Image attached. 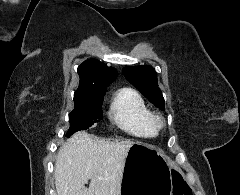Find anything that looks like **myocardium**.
<instances>
[{"mask_svg":"<svg viewBox=\"0 0 240 195\" xmlns=\"http://www.w3.org/2000/svg\"><path fill=\"white\" fill-rule=\"evenodd\" d=\"M151 120L155 127H160L163 124L162 117L159 115H152Z\"/></svg>","mask_w":240,"mask_h":195,"instance_id":"obj_1","label":"myocardium"}]
</instances>
